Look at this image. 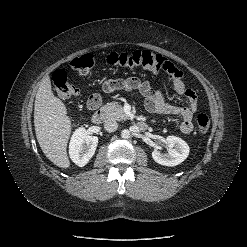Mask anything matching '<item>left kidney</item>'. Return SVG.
<instances>
[{
    "instance_id": "5707ae66",
    "label": "left kidney",
    "mask_w": 247,
    "mask_h": 247,
    "mask_svg": "<svg viewBox=\"0 0 247 247\" xmlns=\"http://www.w3.org/2000/svg\"><path fill=\"white\" fill-rule=\"evenodd\" d=\"M165 142L168 146V153L163 154L157 149L152 152V158L158 164L176 166L188 157L190 148L181 138L177 136H168L165 139Z\"/></svg>"
}]
</instances>
